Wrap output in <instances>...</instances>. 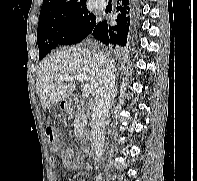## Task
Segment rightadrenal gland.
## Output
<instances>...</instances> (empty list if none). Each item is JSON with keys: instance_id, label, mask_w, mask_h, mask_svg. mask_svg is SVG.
Listing matches in <instances>:
<instances>
[{"instance_id": "right-adrenal-gland-1", "label": "right adrenal gland", "mask_w": 197, "mask_h": 181, "mask_svg": "<svg viewBox=\"0 0 197 181\" xmlns=\"http://www.w3.org/2000/svg\"><path fill=\"white\" fill-rule=\"evenodd\" d=\"M117 90V89H116ZM116 90H115V94H116ZM114 103V100H113V102H112V104Z\"/></svg>"}]
</instances>
